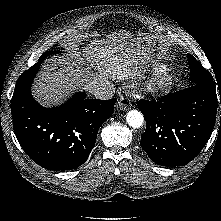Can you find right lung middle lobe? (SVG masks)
Wrapping results in <instances>:
<instances>
[{"label": "right lung middle lobe", "mask_w": 221, "mask_h": 221, "mask_svg": "<svg viewBox=\"0 0 221 221\" xmlns=\"http://www.w3.org/2000/svg\"><path fill=\"white\" fill-rule=\"evenodd\" d=\"M56 53H59V52L47 51V52H45V53H43V54L41 55V57L39 58L38 62H39V63H42L43 60H44L47 56H49V55H51V54H56Z\"/></svg>", "instance_id": "dd1d6c3e"}]
</instances>
